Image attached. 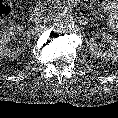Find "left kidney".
I'll use <instances>...</instances> for the list:
<instances>
[{"label": "left kidney", "instance_id": "1", "mask_svg": "<svg viewBox=\"0 0 118 118\" xmlns=\"http://www.w3.org/2000/svg\"><path fill=\"white\" fill-rule=\"evenodd\" d=\"M104 42L107 43V50L101 49L96 43L95 38L89 40V51L96 58H100L106 61H118V40L107 32L100 34Z\"/></svg>", "mask_w": 118, "mask_h": 118}]
</instances>
